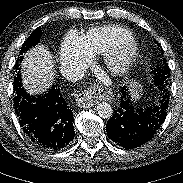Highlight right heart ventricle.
Returning <instances> with one entry per match:
<instances>
[{
    "label": "right heart ventricle",
    "mask_w": 183,
    "mask_h": 183,
    "mask_svg": "<svg viewBox=\"0 0 183 183\" xmlns=\"http://www.w3.org/2000/svg\"><path fill=\"white\" fill-rule=\"evenodd\" d=\"M133 40L130 31L119 26H106L91 29L80 40V46L89 55L107 54L120 45Z\"/></svg>",
    "instance_id": "1"
}]
</instances>
